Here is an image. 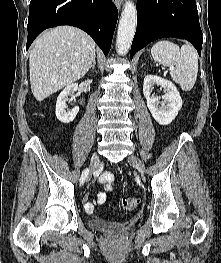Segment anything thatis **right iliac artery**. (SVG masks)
<instances>
[{
	"instance_id": "1",
	"label": "right iliac artery",
	"mask_w": 221,
	"mask_h": 263,
	"mask_svg": "<svg viewBox=\"0 0 221 263\" xmlns=\"http://www.w3.org/2000/svg\"><path fill=\"white\" fill-rule=\"evenodd\" d=\"M89 174V169L86 168L83 172L82 175L80 177V184H83L85 179L87 178V175Z\"/></svg>"
}]
</instances>
